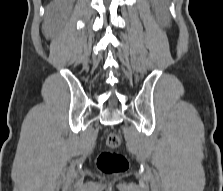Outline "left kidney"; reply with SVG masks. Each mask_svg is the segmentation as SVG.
Segmentation results:
<instances>
[{
  "label": "left kidney",
  "instance_id": "1",
  "mask_svg": "<svg viewBox=\"0 0 223 191\" xmlns=\"http://www.w3.org/2000/svg\"><path fill=\"white\" fill-rule=\"evenodd\" d=\"M155 2L159 5L166 6L165 0H156Z\"/></svg>",
  "mask_w": 223,
  "mask_h": 191
}]
</instances>
